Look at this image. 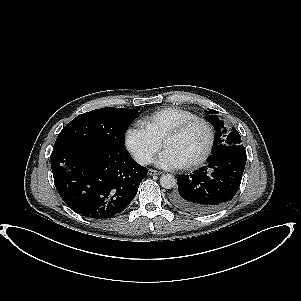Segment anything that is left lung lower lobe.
<instances>
[{
  "label": "left lung lower lobe",
  "instance_id": "left-lung-lower-lobe-1",
  "mask_svg": "<svg viewBox=\"0 0 301 301\" xmlns=\"http://www.w3.org/2000/svg\"><path fill=\"white\" fill-rule=\"evenodd\" d=\"M244 146L231 145L213 154L208 166L177 178L171 203L196 214L214 212L228 204L238 191L246 164Z\"/></svg>",
  "mask_w": 301,
  "mask_h": 301
}]
</instances>
